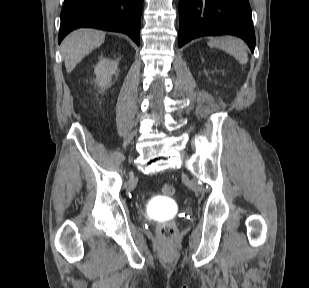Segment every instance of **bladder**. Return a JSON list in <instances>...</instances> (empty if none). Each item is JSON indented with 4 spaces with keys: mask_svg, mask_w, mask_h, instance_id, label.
Returning <instances> with one entry per match:
<instances>
[{
    "mask_svg": "<svg viewBox=\"0 0 309 288\" xmlns=\"http://www.w3.org/2000/svg\"><path fill=\"white\" fill-rule=\"evenodd\" d=\"M170 196H164V199L152 203V206L157 215H167L173 210L171 201H167Z\"/></svg>",
    "mask_w": 309,
    "mask_h": 288,
    "instance_id": "obj_1",
    "label": "bladder"
}]
</instances>
